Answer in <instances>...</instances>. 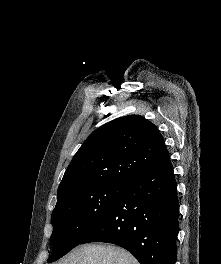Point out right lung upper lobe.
<instances>
[{
	"mask_svg": "<svg viewBox=\"0 0 221 264\" xmlns=\"http://www.w3.org/2000/svg\"><path fill=\"white\" fill-rule=\"evenodd\" d=\"M170 163L156 126L140 115L117 118L95 130L74 155L58 187L57 204L109 182H124Z\"/></svg>",
	"mask_w": 221,
	"mask_h": 264,
	"instance_id": "cb5924a9",
	"label": "right lung upper lobe"
}]
</instances>
